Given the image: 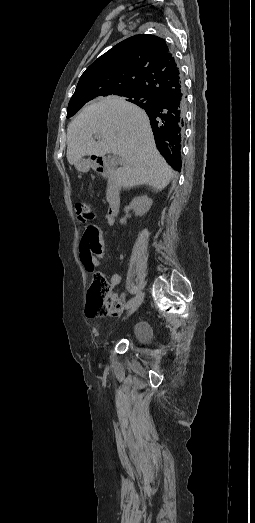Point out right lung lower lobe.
I'll use <instances>...</instances> for the list:
<instances>
[{"instance_id": "98d812e1", "label": "right lung lower lobe", "mask_w": 255, "mask_h": 523, "mask_svg": "<svg viewBox=\"0 0 255 523\" xmlns=\"http://www.w3.org/2000/svg\"><path fill=\"white\" fill-rule=\"evenodd\" d=\"M182 106V99L179 96L166 98L159 101L152 111V118L158 123L155 139L166 145V151L173 153L179 149V143L173 141L178 134L177 111ZM178 171H181V167Z\"/></svg>"}]
</instances>
